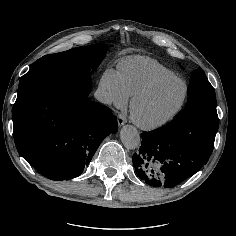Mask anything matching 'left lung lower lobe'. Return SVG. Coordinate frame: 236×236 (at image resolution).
Listing matches in <instances>:
<instances>
[{"instance_id":"left-lung-lower-lobe-1","label":"left lung lower lobe","mask_w":236,"mask_h":236,"mask_svg":"<svg viewBox=\"0 0 236 236\" xmlns=\"http://www.w3.org/2000/svg\"><path fill=\"white\" fill-rule=\"evenodd\" d=\"M218 126L216 106L192 104L162 128L143 132L133 155L137 175L151 186H176L207 163Z\"/></svg>"}]
</instances>
